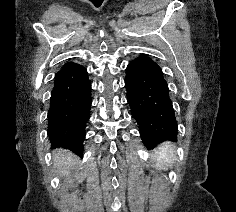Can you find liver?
<instances>
[{
	"mask_svg": "<svg viewBox=\"0 0 236 212\" xmlns=\"http://www.w3.org/2000/svg\"><path fill=\"white\" fill-rule=\"evenodd\" d=\"M54 166L60 175H68L77 164V159L68 150H58L53 153Z\"/></svg>",
	"mask_w": 236,
	"mask_h": 212,
	"instance_id": "1",
	"label": "liver"
}]
</instances>
